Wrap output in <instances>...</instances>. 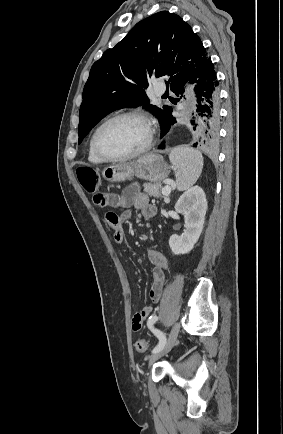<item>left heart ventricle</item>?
Here are the masks:
<instances>
[{
    "label": "left heart ventricle",
    "instance_id": "obj_1",
    "mask_svg": "<svg viewBox=\"0 0 283 434\" xmlns=\"http://www.w3.org/2000/svg\"><path fill=\"white\" fill-rule=\"evenodd\" d=\"M147 138L146 124L138 119L127 118L107 125L100 132L98 143L106 154L119 156L139 150Z\"/></svg>",
    "mask_w": 283,
    "mask_h": 434
}]
</instances>
